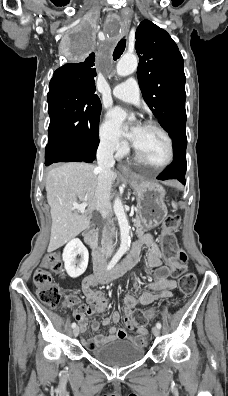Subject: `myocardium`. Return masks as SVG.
Wrapping results in <instances>:
<instances>
[{
    "instance_id": "myocardium-1",
    "label": "myocardium",
    "mask_w": 228,
    "mask_h": 396,
    "mask_svg": "<svg viewBox=\"0 0 228 396\" xmlns=\"http://www.w3.org/2000/svg\"><path fill=\"white\" fill-rule=\"evenodd\" d=\"M143 125L146 126V127H150V128L158 130L166 138V140L168 142V145H169V156H168L167 160L164 163L155 165V164L150 163L141 154V152L137 149V147L135 145H133L134 154H135L136 159L140 163L144 164L145 166H148V167L153 168V169H163V168L167 167L174 159V142H173L172 137L170 136V134L161 125H159L155 121L148 120Z\"/></svg>"
}]
</instances>
